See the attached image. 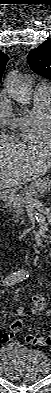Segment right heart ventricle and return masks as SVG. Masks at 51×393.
Here are the masks:
<instances>
[{
    "mask_svg": "<svg viewBox=\"0 0 51 393\" xmlns=\"http://www.w3.org/2000/svg\"><path fill=\"white\" fill-rule=\"evenodd\" d=\"M20 138L27 143L46 144L51 141V89L38 86L33 107L17 120Z\"/></svg>",
    "mask_w": 51,
    "mask_h": 393,
    "instance_id": "e07e8e85",
    "label": "right heart ventricle"
}]
</instances>
